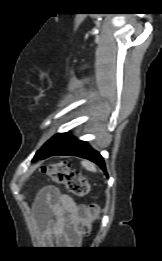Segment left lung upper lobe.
Returning a JSON list of instances; mask_svg holds the SVG:
<instances>
[{
  "label": "left lung upper lobe",
  "mask_w": 162,
  "mask_h": 261,
  "mask_svg": "<svg viewBox=\"0 0 162 261\" xmlns=\"http://www.w3.org/2000/svg\"><path fill=\"white\" fill-rule=\"evenodd\" d=\"M69 133H58L48 140L42 148L35 154L32 161H37L42 158L52 147H54L59 141L68 136Z\"/></svg>",
  "instance_id": "obj_1"
}]
</instances>
